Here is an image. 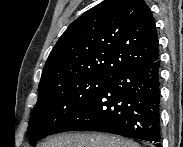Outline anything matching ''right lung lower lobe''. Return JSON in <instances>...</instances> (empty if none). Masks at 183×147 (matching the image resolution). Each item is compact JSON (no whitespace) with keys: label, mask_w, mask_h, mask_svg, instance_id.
<instances>
[{"label":"right lung lower lobe","mask_w":183,"mask_h":147,"mask_svg":"<svg viewBox=\"0 0 183 147\" xmlns=\"http://www.w3.org/2000/svg\"><path fill=\"white\" fill-rule=\"evenodd\" d=\"M159 103L157 59L153 63L130 67L112 76L52 134L66 131H99L160 142Z\"/></svg>","instance_id":"right-lung-lower-lobe-1"}]
</instances>
